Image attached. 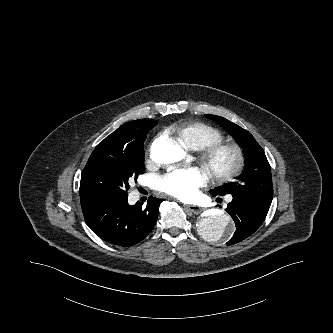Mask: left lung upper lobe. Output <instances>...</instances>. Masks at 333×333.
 I'll return each mask as SVG.
<instances>
[{
  "mask_svg": "<svg viewBox=\"0 0 333 333\" xmlns=\"http://www.w3.org/2000/svg\"><path fill=\"white\" fill-rule=\"evenodd\" d=\"M225 128L243 147L246 156V166L236 181L227 183L211 190L213 196L230 194L272 201L273 186L270 164L266 155L254 137L245 129L227 119L207 115Z\"/></svg>",
  "mask_w": 333,
  "mask_h": 333,
  "instance_id": "left-lung-upper-lobe-1",
  "label": "left lung upper lobe"
}]
</instances>
